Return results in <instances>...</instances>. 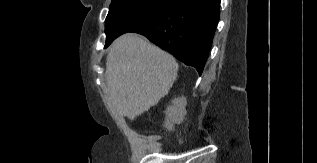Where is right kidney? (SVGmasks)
Returning <instances> with one entry per match:
<instances>
[{
    "mask_svg": "<svg viewBox=\"0 0 317 163\" xmlns=\"http://www.w3.org/2000/svg\"><path fill=\"white\" fill-rule=\"evenodd\" d=\"M187 100L184 96L175 98L172 100V105L168 106L165 114L164 127L168 130H172L174 124H180L186 115Z\"/></svg>",
    "mask_w": 317,
    "mask_h": 163,
    "instance_id": "obj_1",
    "label": "right kidney"
}]
</instances>
